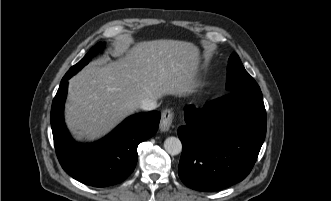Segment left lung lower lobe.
Segmentation results:
<instances>
[{
  "label": "left lung lower lobe",
  "instance_id": "0a47b994",
  "mask_svg": "<svg viewBox=\"0 0 331 201\" xmlns=\"http://www.w3.org/2000/svg\"><path fill=\"white\" fill-rule=\"evenodd\" d=\"M184 118L178 174L187 187L220 190L249 174L266 135L260 88L229 92L203 108L188 105Z\"/></svg>",
  "mask_w": 331,
  "mask_h": 201
}]
</instances>
